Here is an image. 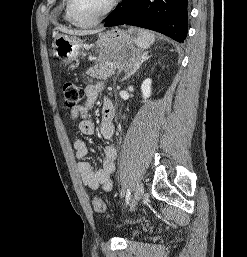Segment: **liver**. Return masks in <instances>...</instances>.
<instances>
[{
  "mask_svg": "<svg viewBox=\"0 0 247 257\" xmlns=\"http://www.w3.org/2000/svg\"><path fill=\"white\" fill-rule=\"evenodd\" d=\"M56 30H59L63 33H67L70 35H77V36L95 34L100 31V30H71V29H67L65 27H57Z\"/></svg>",
  "mask_w": 247,
  "mask_h": 257,
  "instance_id": "1",
  "label": "liver"
}]
</instances>
